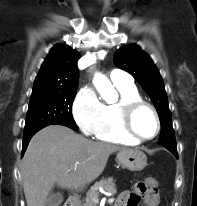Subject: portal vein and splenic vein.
I'll use <instances>...</instances> for the list:
<instances>
[{
  "label": "portal vein and splenic vein",
  "mask_w": 197,
  "mask_h": 206,
  "mask_svg": "<svg viewBox=\"0 0 197 206\" xmlns=\"http://www.w3.org/2000/svg\"><path fill=\"white\" fill-rule=\"evenodd\" d=\"M68 171H70V170H68ZM113 201H114V198H109V199H108V202H109V203H112Z\"/></svg>",
  "instance_id": "portal-vein-and-splenic-vein-1"
}]
</instances>
